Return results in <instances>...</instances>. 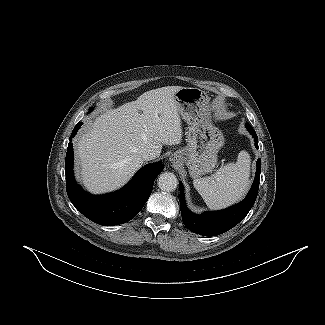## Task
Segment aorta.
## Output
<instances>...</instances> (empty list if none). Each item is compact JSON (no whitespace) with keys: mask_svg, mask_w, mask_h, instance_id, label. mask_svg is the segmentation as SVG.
I'll return each mask as SVG.
<instances>
[{"mask_svg":"<svg viewBox=\"0 0 325 325\" xmlns=\"http://www.w3.org/2000/svg\"><path fill=\"white\" fill-rule=\"evenodd\" d=\"M178 180L171 172H163L158 177V187L162 191L171 192L177 188Z\"/></svg>","mask_w":325,"mask_h":325,"instance_id":"762f6f07","label":"aorta"}]
</instances>
